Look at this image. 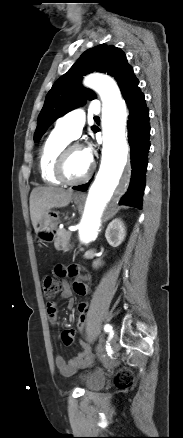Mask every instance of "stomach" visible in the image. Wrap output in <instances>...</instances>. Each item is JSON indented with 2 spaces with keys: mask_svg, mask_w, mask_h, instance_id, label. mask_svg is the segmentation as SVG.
<instances>
[{
  "mask_svg": "<svg viewBox=\"0 0 183 438\" xmlns=\"http://www.w3.org/2000/svg\"><path fill=\"white\" fill-rule=\"evenodd\" d=\"M81 200V197L78 195H74L72 197V201L75 204H79ZM58 221V212L48 210L43 218L35 226V232L40 241L50 243L55 239V231L57 229Z\"/></svg>",
  "mask_w": 183,
  "mask_h": 438,
  "instance_id": "0dacf381",
  "label": "stomach"
}]
</instances>
